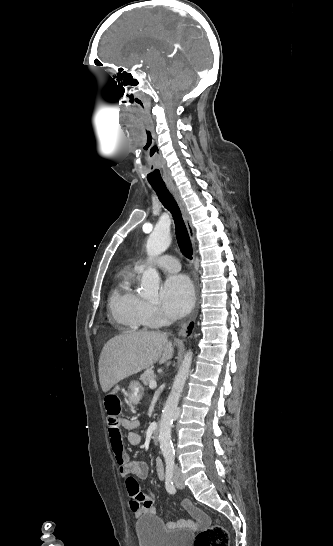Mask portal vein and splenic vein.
I'll list each match as a JSON object with an SVG mask.
<instances>
[{
	"instance_id": "1",
	"label": "portal vein and splenic vein",
	"mask_w": 333,
	"mask_h": 546,
	"mask_svg": "<svg viewBox=\"0 0 333 546\" xmlns=\"http://www.w3.org/2000/svg\"><path fill=\"white\" fill-rule=\"evenodd\" d=\"M149 387H150L151 389L156 388V387H157L156 381H154V380L150 381Z\"/></svg>"
}]
</instances>
